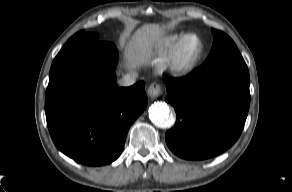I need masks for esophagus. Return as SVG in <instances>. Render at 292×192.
I'll list each match as a JSON object with an SVG mask.
<instances>
[{
	"label": "esophagus",
	"mask_w": 292,
	"mask_h": 192,
	"mask_svg": "<svg viewBox=\"0 0 292 192\" xmlns=\"http://www.w3.org/2000/svg\"><path fill=\"white\" fill-rule=\"evenodd\" d=\"M163 90L160 84L152 83L147 90V94L150 98L156 99L162 94Z\"/></svg>",
	"instance_id": "esophagus-1"
}]
</instances>
